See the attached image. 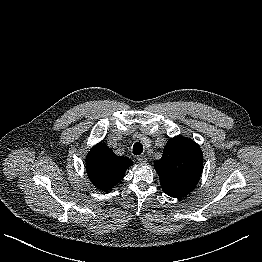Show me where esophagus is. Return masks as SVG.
Here are the masks:
<instances>
[{
  "label": "esophagus",
  "instance_id": "1",
  "mask_svg": "<svg viewBox=\"0 0 262 262\" xmlns=\"http://www.w3.org/2000/svg\"><path fill=\"white\" fill-rule=\"evenodd\" d=\"M137 160H138L140 163H142V164H144V163L147 162V158H146V156H144V155L138 156V157H137Z\"/></svg>",
  "mask_w": 262,
  "mask_h": 262
}]
</instances>
